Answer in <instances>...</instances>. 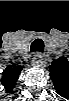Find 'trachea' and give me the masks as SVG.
I'll return each instance as SVG.
<instances>
[{
	"instance_id": "trachea-1",
	"label": "trachea",
	"mask_w": 69,
	"mask_h": 101,
	"mask_svg": "<svg viewBox=\"0 0 69 101\" xmlns=\"http://www.w3.org/2000/svg\"><path fill=\"white\" fill-rule=\"evenodd\" d=\"M44 42L41 39H35L31 44L32 52H43Z\"/></svg>"
}]
</instances>
